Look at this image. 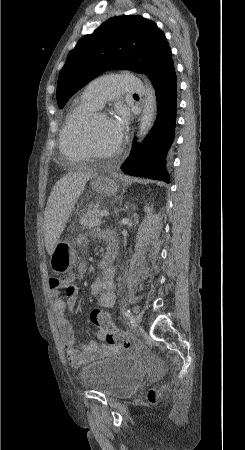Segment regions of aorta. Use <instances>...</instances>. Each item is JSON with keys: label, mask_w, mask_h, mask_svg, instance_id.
Instances as JSON below:
<instances>
[{"label": "aorta", "mask_w": 245, "mask_h": 450, "mask_svg": "<svg viewBox=\"0 0 245 450\" xmlns=\"http://www.w3.org/2000/svg\"><path fill=\"white\" fill-rule=\"evenodd\" d=\"M145 80L146 94L143 100L144 105L138 131L139 141H142L145 138L150 128L152 127L157 108L155 90L153 89L149 80L147 78H145Z\"/></svg>", "instance_id": "obj_1"}]
</instances>
